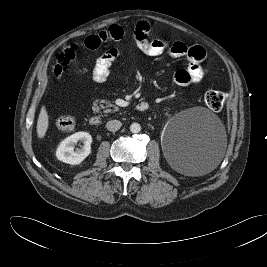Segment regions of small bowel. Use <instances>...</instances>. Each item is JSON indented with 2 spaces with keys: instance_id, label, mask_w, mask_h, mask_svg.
Instances as JSON below:
<instances>
[{
  "instance_id": "small-bowel-1",
  "label": "small bowel",
  "mask_w": 267,
  "mask_h": 267,
  "mask_svg": "<svg viewBox=\"0 0 267 267\" xmlns=\"http://www.w3.org/2000/svg\"><path fill=\"white\" fill-rule=\"evenodd\" d=\"M150 32L151 25L147 21L138 22L134 29L136 45L143 53L148 56H159L167 51L173 58L183 57L187 59V67L175 72L174 80L178 85L188 86L197 84L203 79L205 68L202 62L205 58V51L201 46H188L179 41L169 44L163 39L149 40L148 36ZM124 35L125 29L122 26L112 25L96 34L85 37L80 42L70 44L57 56L54 65V75L60 77L65 66L74 59L80 49L95 50L103 43L121 40ZM116 58L117 50L115 48H109L97 59L92 73L93 79L96 82H104L107 79L110 68Z\"/></svg>"
}]
</instances>
